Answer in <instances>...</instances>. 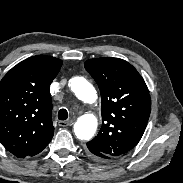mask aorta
<instances>
[{"mask_svg":"<svg viewBox=\"0 0 183 183\" xmlns=\"http://www.w3.org/2000/svg\"><path fill=\"white\" fill-rule=\"evenodd\" d=\"M71 90L76 97L85 103H94L97 100V92L94 86L83 77L71 79ZM97 118L91 114H85L78 118L74 124V133L78 139L90 140L97 130Z\"/></svg>","mask_w":183,"mask_h":183,"instance_id":"obj_1","label":"aorta"}]
</instances>
